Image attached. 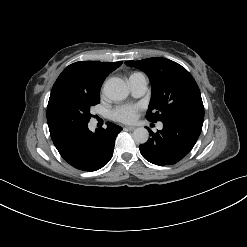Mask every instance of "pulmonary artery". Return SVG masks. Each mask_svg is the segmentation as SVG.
Instances as JSON below:
<instances>
[{"label": "pulmonary artery", "mask_w": 247, "mask_h": 247, "mask_svg": "<svg viewBox=\"0 0 247 247\" xmlns=\"http://www.w3.org/2000/svg\"><path fill=\"white\" fill-rule=\"evenodd\" d=\"M128 82L131 93L134 97H141L145 93L148 84L146 75L142 73H134L129 77ZM158 128L162 129L163 125L158 124Z\"/></svg>", "instance_id": "obj_1"}]
</instances>
